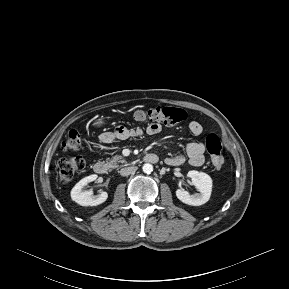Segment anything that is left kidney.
I'll return each instance as SVG.
<instances>
[{
    "mask_svg": "<svg viewBox=\"0 0 289 289\" xmlns=\"http://www.w3.org/2000/svg\"><path fill=\"white\" fill-rule=\"evenodd\" d=\"M187 176L191 178L193 185L200 191V193L190 194L183 189H177V198L181 202L192 206L205 204L211 195L212 179L208 174L195 170L189 171Z\"/></svg>",
    "mask_w": 289,
    "mask_h": 289,
    "instance_id": "obj_1",
    "label": "left kidney"
}]
</instances>
